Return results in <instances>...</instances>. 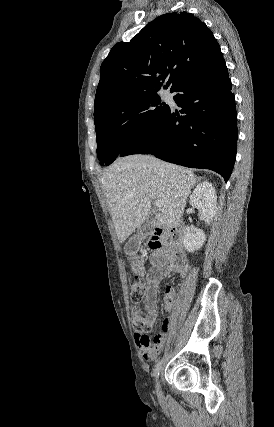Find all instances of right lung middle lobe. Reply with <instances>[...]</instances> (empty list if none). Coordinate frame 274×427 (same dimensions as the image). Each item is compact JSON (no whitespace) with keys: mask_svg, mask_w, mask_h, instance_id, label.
<instances>
[{"mask_svg":"<svg viewBox=\"0 0 274 427\" xmlns=\"http://www.w3.org/2000/svg\"><path fill=\"white\" fill-rule=\"evenodd\" d=\"M168 108L152 93L121 100L94 116L100 165L111 164L127 146L146 136Z\"/></svg>","mask_w":274,"mask_h":427,"instance_id":"right-lung-middle-lobe-1","label":"right lung middle lobe"}]
</instances>
